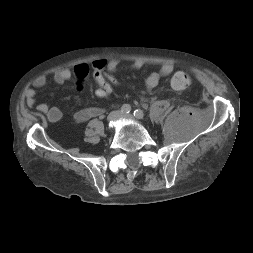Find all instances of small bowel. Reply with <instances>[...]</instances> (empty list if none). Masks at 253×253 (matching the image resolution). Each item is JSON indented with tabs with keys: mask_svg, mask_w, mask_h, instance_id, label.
<instances>
[{
	"mask_svg": "<svg viewBox=\"0 0 253 253\" xmlns=\"http://www.w3.org/2000/svg\"><path fill=\"white\" fill-rule=\"evenodd\" d=\"M107 62V69L111 73H117L123 69L139 70L144 66L142 60H135L129 65H122L120 60L111 59ZM174 70V66L171 63L162 64L158 70L151 72L145 80V85L148 90H154L158 85L162 77L170 75ZM90 71L87 63H79L75 65L73 71L64 69L58 71L53 76V81L56 84H63L70 80L72 77L77 79L78 88L81 89L82 83L88 76ZM48 81L45 77L37 78L33 85L35 88H43L47 85ZM26 103L28 107L33 108L37 104L36 91L34 89H28L26 91ZM37 111L44 115L46 119L51 123L58 122L62 117V111L57 106H49L46 103H41L37 106ZM104 113L102 108L94 106H85L74 113V120L77 123H85L90 119L101 116Z\"/></svg>",
	"mask_w": 253,
	"mask_h": 253,
	"instance_id": "obj_1",
	"label": "small bowel"
}]
</instances>
